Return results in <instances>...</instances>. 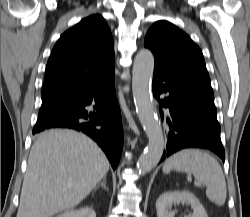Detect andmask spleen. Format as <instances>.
Returning a JSON list of instances; mask_svg holds the SVG:
<instances>
[{
	"mask_svg": "<svg viewBox=\"0 0 250 217\" xmlns=\"http://www.w3.org/2000/svg\"><path fill=\"white\" fill-rule=\"evenodd\" d=\"M176 170L192 173L196 180L206 186L207 198L218 206L224 205L227 196L225 177L219 162L210 154L198 149H184L169 157L163 172Z\"/></svg>",
	"mask_w": 250,
	"mask_h": 217,
	"instance_id": "1",
	"label": "spleen"
}]
</instances>
